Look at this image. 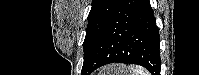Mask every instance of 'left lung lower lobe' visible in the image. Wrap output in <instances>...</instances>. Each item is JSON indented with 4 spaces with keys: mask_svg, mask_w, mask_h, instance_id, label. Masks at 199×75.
<instances>
[{
    "mask_svg": "<svg viewBox=\"0 0 199 75\" xmlns=\"http://www.w3.org/2000/svg\"><path fill=\"white\" fill-rule=\"evenodd\" d=\"M159 30L149 0H122L82 75L109 63L138 64L160 75Z\"/></svg>",
    "mask_w": 199,
    "mask_h": 75,
    "instance_id": "0a47b994",
    "label": "left lung lower lobe"
}]
</instances>
